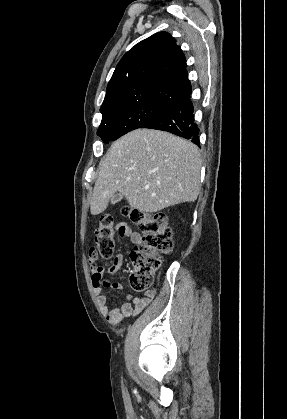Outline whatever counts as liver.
Listing matches in <instances>:
<instances>
[{
  "mask_svg": "<svg viewBox=\"0 0 287 419\" xmlns=\"http://www.w3.org/2000/svg\"><path fill=\"white\" fill-rule=\"evenodd\" d=\"M202 166L198 147L173 134L137 129L115 141L101 160L90 201L102 213L116 192L141 212L194 202Z\"/></svg>",
  "mask_w": 287,
  "mask_h": 419,
  "instance_id": "liver-1",
  "label": "liver"
}]
</instances>
